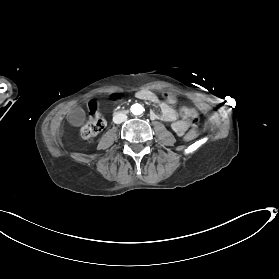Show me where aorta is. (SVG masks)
Wrapping results in <instances>:
<instances>
[{
  "label": "aorta",
  "mask_w": 279,
  "mask_h": 279,
  "mask_svg": "<svg viewBox=\"0 0 279 279\" xmlns=\"http://www.w3.org/2000/svg\"><path fill=\"white\" fill-rule=\"evenodd\" d=\"M143 110L144 108L142 107V105L136 103V104H133L131 106V112L134 114V115H140L143 113Z\"/></svg>",
  "instance_id": "762f6f07"
}]
</instances>
